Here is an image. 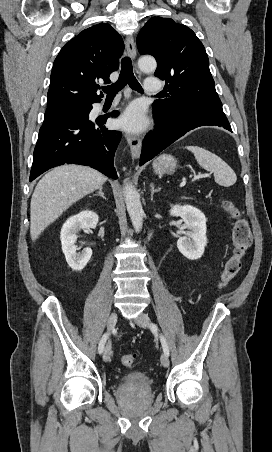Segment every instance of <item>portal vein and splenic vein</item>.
I'll return each mask as SVG.
<instances>
[{"label":"portal vein and splenic vein","instance_id":"portal-vein-and-splenic-vein-1","mask_svg":"<svg viewBox=\"0 0 272 452\" xmlns=\"http://www.w3.org/2000/svg\"><path fill=\"white\" fill-rule=\"evenodd\" d=\"M207 176H209V174H198V175L194 176V178H193L192 181H195V180H198V179H200V178H202V177H207ZM183 184H185V180L181 183V186H182Z\"/></svg>","mask_w":272,"mask_h":452}]
</instances>
